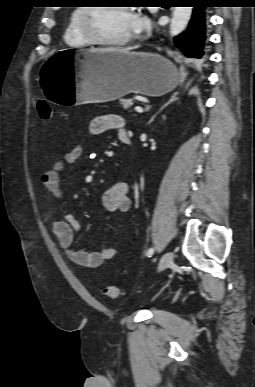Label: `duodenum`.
I'll return each mask as SVG.
<instances>
[{
	"label": "duodenum",
	"mask_w": 255,
	"mask_h": 387,
	"mask_svg": "<svg viewBox=\"0 0 255 387\" xmlns=\"http://www.w3.org/2000/svg\"><path fill=\"white\" fill-rule=\"evenodd\" d=\"M119 138L125 144H130L131 143V139H130V136L128 135V133L121 134Z\"/></svg>",
	"instance_id": "1"
}]
</instances>
